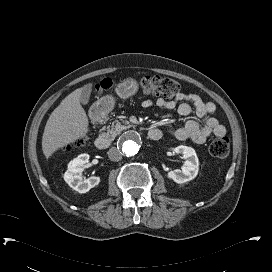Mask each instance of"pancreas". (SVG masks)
<instances>
[{"instance_id":"cf45deb5","label":"pancreas","mask_w":272,"mask_h":272,"mask_svg":"<svg viewBox=\"0 0 272 272\" xmlns=\"http://www.w3.org/2000/svg\"><path fill=\"white\" fill-rule=\"evenodd\" d=\"M122 123L121 124L118 120L115 121V125L112 126L111 129L107 130V134L112 138L114 139L117 135H119L122 131L124 130H127L131 127H133V125H131L129 123V121L127 120H122Z\"/></svg>"}]
</instances>
